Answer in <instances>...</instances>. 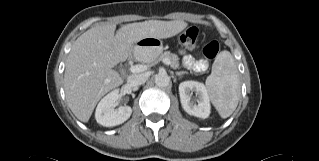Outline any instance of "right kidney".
I'll use <instances>...</instances> for the list:
<instances>
[{
    "instance_id": "obj_1",
    "label": "right kidney",
    "mask_w": 319,
    "mask_h": 161,
    "mask_svg": "<svg viewBox=\"0 0 319 161\" xmlns=\"http://www.w3.org/2000/svg\"><path fill=\"white\" fill-rule=\"evenodd\" d=\"M120 99L118 90L106 95L97 105L95 112L96 121L105 127L120 125L128 120L132 114L129 106H120L114 109V105Z\"/></svg>"
}]
</instances>
